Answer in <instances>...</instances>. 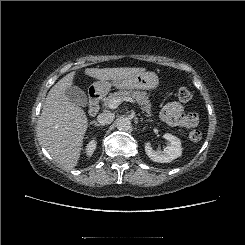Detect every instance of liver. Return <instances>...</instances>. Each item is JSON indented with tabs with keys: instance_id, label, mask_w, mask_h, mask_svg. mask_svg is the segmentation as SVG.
<instances>
[{
	"instance_id": "liver-1",
	"label": "liver",
	"mask_w": 245,
	"mask_h": 245,
	"mask_svg": "<svg viewBox=\"0 0 245 245\" xmlns=\"http://www.w3.org/2000/svg\"><path fill=\"white\" fill-rule=\"evenodd\" d=\"M145 68H87L85 74L98 80H117L145 72ZM76 72L60 79L48 92L38 121V136L52 159L61 167L73 169L79 161L88 128L84 110L71 102L65 89L73 84Z\"/></svg>"
}]
</instances>
